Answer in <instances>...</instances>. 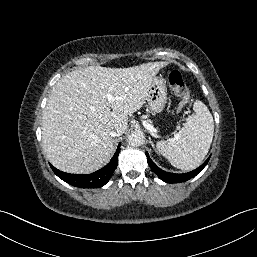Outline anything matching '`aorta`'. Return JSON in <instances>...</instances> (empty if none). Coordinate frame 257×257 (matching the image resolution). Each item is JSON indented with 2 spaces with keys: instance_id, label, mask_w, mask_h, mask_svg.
I'll return each mask as SVG.
<instances>
[{
  "instance_id": "aorta-1",
  "label": "aorta",
  "mask_w": 257,
  "mask_h": 257,
  "mask_svg": "<svg viewBox=\"0 0 257 257\" xmlns=\"http://www.w3.org/2000/svg\"><path fill=\"white\" fill-rule=\"evenodd\" d=\"M127 142L132 146H141L144 143V136L140 132H133L128 136Z\"/></svg>"
}]
</instances>
